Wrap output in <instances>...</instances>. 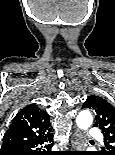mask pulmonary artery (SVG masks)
I'll return each instance as SVG.
<instances>
[{
  "label": "pulmonary artery",
  "instance_id": "e3ab8cb5",
  "mask_svg": "<svg viewBox=\"0 0 115 155\" xmlns=\"http://www.w3.org/2000/svg\"><path fill=\"white\" fill-rule=\"evenodd\" d=\"M90 135H91L92 137H94V138H100V137H101L100 132L97 131V130H92L91 133H90Z\"/></svg>",
  "mask_w": 115,
  "mask_h": 155
}]
</instances>
